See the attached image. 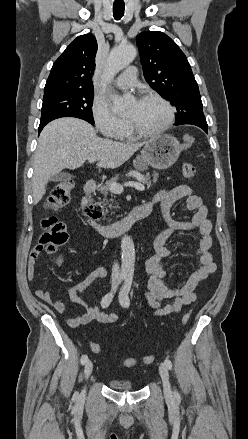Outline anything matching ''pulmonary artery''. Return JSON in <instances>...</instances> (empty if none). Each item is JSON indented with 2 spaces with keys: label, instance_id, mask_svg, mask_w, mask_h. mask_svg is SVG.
<instances>
[{
  "label": "pulmonary artery",
  "instance_id": "1",
  "mask_svg": "<svg viewBox=\"0 0 248 439\" xmlns=\"http://www.w3.org/2000/svg\"><path fill=\"white\" fill-rule=\"evenodd\" d=\"M136 82V68L129 67L122 74H120L116 80L115 84L120 89H127L135 85Z\"/></svg>",
  "mask_w": 248,
  "mask_h": 439
}]
</instances>
